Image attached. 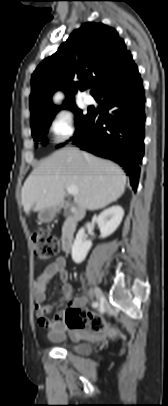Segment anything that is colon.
Instances as JSON below:
<instances>
[{
  "label": "colon",
  "mask_w": 168,
  "mask_h": 406,
  "mask_svg": "<svg viewBox=\"0 0 168 406\" xmlns=\"http://www.w3.org/2000/svg\"><path fill=\"white\" fill-rule=\"evenodd\" d=\"M35 257L40 261L49 260L60 252V241L46 230L36 231L32 235ZM65 321L73 327H84L95 333H106L110 337L116 336V329L109 327L102 316L95 312H83L69 308L65 314Z\"/></svg>",
  "instance_id": "5ec220e1"
}]
</instances>
